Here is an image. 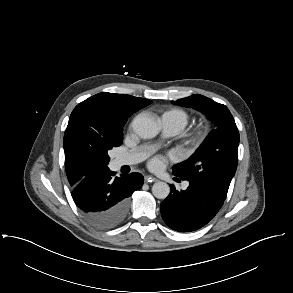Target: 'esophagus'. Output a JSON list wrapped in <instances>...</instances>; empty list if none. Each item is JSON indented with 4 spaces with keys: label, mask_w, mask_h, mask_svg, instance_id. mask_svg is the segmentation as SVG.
<instances>
[{
    "label": "esophagus",
    "mask_w": 293,
    "mask_h": 293,
    "mask_svg": "<svg viewBox=\"0 0 293 293\" xmlns=\"http://www.w3.org/2000/svg\"><path fill=\"white\" fill-rule=\"evenodd\" d=\"M145 180L147 182H156V181H158L156 178H154L152 176H145Z\"/></svg>",
    "instance_id": "obj_1"
}]
</instances>
